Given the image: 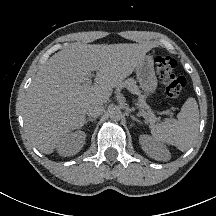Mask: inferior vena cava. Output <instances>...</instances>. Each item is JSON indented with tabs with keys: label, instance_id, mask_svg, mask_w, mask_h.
<instances>
[{
	"label": "inferior vena cava",
	"instance_id": "obj_1",
	"mask_svg": "<svg viewBox=\"0 0 216 216\" xmlns=\"http://www.w3.org/2000/svg\"><path fill=\"white\" fill-rule=\"evenodd\" d=\"M103 111H104L103 105L98 102L91 103L86 107V114L89 117H93V118L100 116Z\"/></svg>",
	"mask_w": 216,
	"mask_h": 216
}]
</instances>
